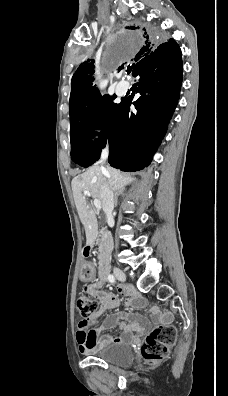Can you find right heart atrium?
<instances>
[{
	"instance_id": "1",
	"label": "right heart atrium",
	"mask_w": 228,
	"mask_h": 396,
	"mask_svg": "<svg viewBox=\"0 0 228 396\" xmlns=\"http://www.w3.org/2000/svg\"><path fill=\"white\" fill-rule=\"evenodd\" d=\"M102 136V129L97 124H91L88 130V138L91 141L97 140Z\"/></svg>"
}]
</instances>
